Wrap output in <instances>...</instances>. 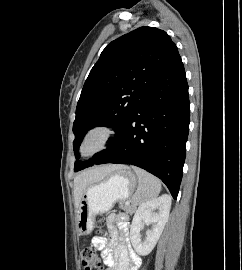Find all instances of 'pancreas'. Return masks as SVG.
<instances>
[{
  "label": "pancreas",
  "mask_w": 242,
  "mask_h": 270,
  "mask_svg": "<svg viewBox=\"0 0 242 270\" xmlns=\"http://www.w3.org/2000/svg\"><path fill=\"white\" fill-rule=\"evenodd\" d=\"M133 203V202H132ZM121 209H123L124 211H126L127 213H130V214H132V213H134L135 212V210H136V206H135V204L133 203V204H124V205H121Z\"/></svg>",
  "instance_id": "pancreas-1"
}]
</instances>
